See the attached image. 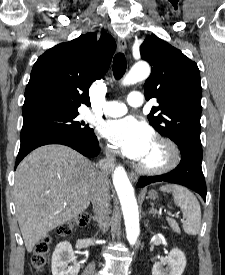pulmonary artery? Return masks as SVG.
I'll use <instances>...</instances> for the list:
<instances>
[{"mask_svg":"<svg viewBox=\"0 0 225 275\" xmlns=\"http://www.w3.org/2000/svg\"><path fill=\"white\" fill-rule=\"evenodd\" d=\"M127 104L131 107L143 105V95L139 91L131 92L127 97ZM127 104L119 101H108L104 104L102 112L106 116H121L127 112Z\"/></svg>","mask_w":225,"mask_h":275,"instance_id":"pulmonary-artery-1","label":"pulmonary artery"}]
</instances>
